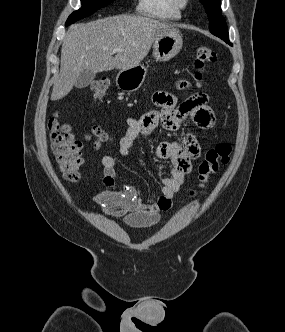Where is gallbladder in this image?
Here are the masks:
<instances>
[{
    "mask_svg": "<svg viewBox=\"0 0 285 332\" xmlns=\"http://www.w3.org/2000/svg\"><path fill=\"white\" fill-rule=\"evenodd\" d=\"M95 76L96 73L91 70L82 71L75 82V87L78 89L87 87L93 81Z\"/></svg>",
    "mask_w": 285,
    "mask_h": 332,
    "instance_id": "obj_1",
    "label": "gallbladder"
}]
</instances>
